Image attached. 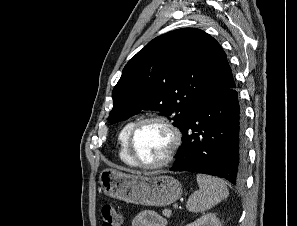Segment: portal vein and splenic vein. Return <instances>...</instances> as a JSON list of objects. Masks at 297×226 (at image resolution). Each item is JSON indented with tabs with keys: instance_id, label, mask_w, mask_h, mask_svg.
Returning a JSON list of instances; mask_svg holds the SVG:
<instances>
[{
	"instance_id": "1",
	"label": "portal vein and splenic vein",
	"mask_w": 297,
	"mask_h": 226,
	"mask_svg": "<svg viewBox=\"0 0 297 226\" xmlns=\"http://www.w3.org/2000/svg\"><path fill=\"white\" fill-rule=\"evenodd\" d=\"M178 207H179V206H178L177 203H175V204L173 205V208H174V209H178Z\"/></svg>"
}]
</instances>
